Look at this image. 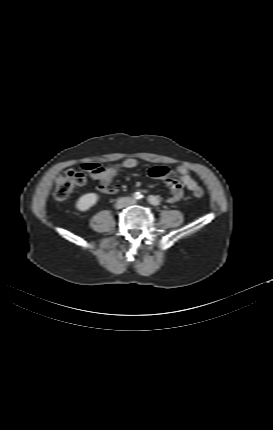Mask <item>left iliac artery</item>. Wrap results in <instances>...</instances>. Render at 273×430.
<instances>
[{
  "mask_svg": "<svg viewBox=\"0 0 273 430\" xmlns=\"http://www.w3.org/2000/svg\"><path fill=\"white\" fill-rule=\"evenodd\" d=\"M148 201L150 204L154 205V206H158L160 205V200L156 197V196H149L148 197Z\"/></svg>",
  "mask_w": 273,
  "mask_h": 430,
  "instance_id": "left-iliac-artery-1",
  "label": "left iliac artery"
}]
</instances>
